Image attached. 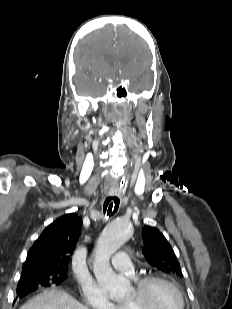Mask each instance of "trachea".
Segmentation results:
<instances>
[{
    "label": "trachea",
    "instance_id": "trachea-1",
    "mask_svg": "<svg viewBox=\"0 0 232 309\" xmlns=\"http://www.w3.org/2000/svg\"><path fill=\"white\" fill-rule=\"evenodd\" d=\"M120 200L116 196V194L112 193L110 196H108L104 202V214L107 216L114 215L118 208H119Z\"/></svg>",
    "mask_w": 232,
    "mask_h": 309
}]
</instances>
